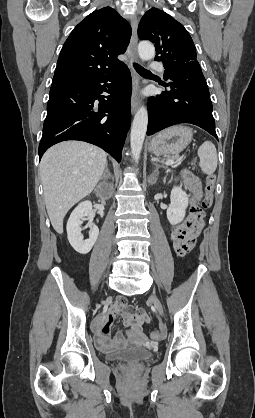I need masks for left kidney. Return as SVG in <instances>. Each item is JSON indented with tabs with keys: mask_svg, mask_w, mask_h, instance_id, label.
<instances>
[{
	"mask_svg": "<svg viewBox=\"0 0 255 418\" xmlns=\"http://www.w3.org/2000/svg\"><path fill=\"white\" fill-rule=\"evenodd\" d=\"M170 205L167 209V219L170 224L175 225L180 223L186 214L188 206V195L184 192L181 186H174L171 191Z\"/></svg>",
	"mask_w": 255,
	"mask_h": 418,
	"instance_id": "left-kidney-1",
	"label": "left kidney"
}]
</instances>
